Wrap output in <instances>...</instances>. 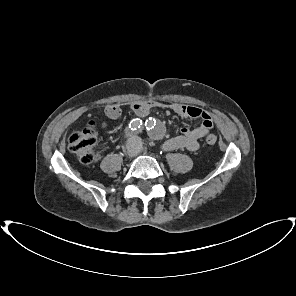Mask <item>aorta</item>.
<instances>
[{"mask_svg":"<svg viewBox=\"0 0 296 296\" xmlns=\"http://www.w3.org/2000/svg\"><path fill=\"white\" fill-rule=\"evenodd\" d=\"M148 128H149V131L152 132V129H153V123L148 124Z\"/></svg>","mask_w":296,"mask_h":296,"instance_id":"1","label":"aorta"}]
</instances>
